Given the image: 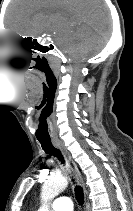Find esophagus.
Wrapping results in <instances>:
<instances>
[{
	"mask_svg": "<svg viewBox=\"0 0 133 211\" xmlns=\"http://www.w3.org/2000/svg\"><path fill=\"white\" fill-rule=\"evenodd\" d=\"M53 144L54 146L59 149L62 154L64 155L69 167L71 168V170L73 171L78 183L83 187V190H84V199H85V202L87 200V191H86V188H85V185H84V181H83V177L77 167V165L75 164V162L73 161L71 155L69 154V152L67 151L66 147L64 146V144L59 141V140H56V141H53Z\"/></svg>",
	"mask_w": 133,
	"mask_h": 211,
	"instance_id": "esophagus-1",
	"label": "esophagus"
}]
</instances>
